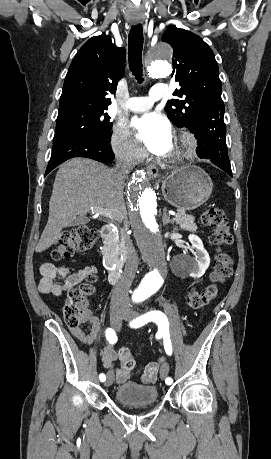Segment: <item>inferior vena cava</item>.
Returning <instances> with one entry per match:
<instances>
[{
  "instance_id": "1",
  "label": "inferior vena cava",
  "mask_w": 271,
  "mask_h": 459,
  "mask_svg": "<svg viewBox=\"0 0 271 459\" xmlns=\"http://www.w3.org/2000/svg\"><path fill=\"white\" fill-rule=\"evenodd\" d=\"M132 162H125V160H117L116 162V174L117 178H126L127 174H129L130 170H132ZM114 220H124L123 214H118L116 212V216ZM132 279H120L116 285L113 287L112 293V303L116 301V299H126L128 297V289L131 285Z\"/></svg>"
}]
</instances>
